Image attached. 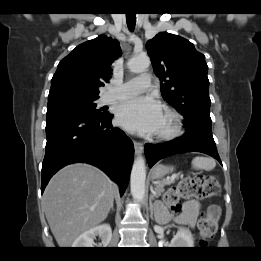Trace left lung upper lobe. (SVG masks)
<instances>
[{
    "label": "left lung upper lobe",
    "mask_w": 261,
    "mask_h": 261,
    "mask_svg": "<svg viewBox=\"0 0 261 261\" xmlns=\"http://www.w3.org/2000/svg\"><path fill=\"white\" fill-rule=\"evenodd\" d=\"M146 48L160 78L162 96L184 116V124H211L205 56L185 38L167 32L158 33Z\"/></svg>",
    "instance_id": "1"
}]
</instances>
